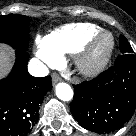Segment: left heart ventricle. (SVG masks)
<instances>
[{"label":"left heart ventricle","instance_id":"b2bd125f","mask_svg":"<svg viewBox=\"0 0 136 136\" xmlns=\"http://www.w3.org/2000/svg\"><path fill=\"white\" fill-rule=\"evenodd\" d=\"M109 44V39L108 38H104L102 39L98 45L96 46L94 52H93V58H98L100 57L103 52L105 51V49L107 48Z\"/></svg>","mask_w":136,"mask_h":136}]
</instances>
